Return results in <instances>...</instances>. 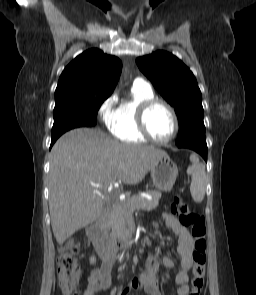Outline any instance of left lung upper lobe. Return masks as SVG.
<instances>
[{
  "label": "left lung upper lobe",
  "instance_id": "obj_1",
  "mask_svg": "<svg viewBox=\"0 0 256 295\" xmlns=\"http://www.w3.org/2000/svg\"><path fill=\"white\" fill-rule=\"evenodd\" d=\"M136 63L175 109L179 121L176 144L206 140L202 96L190 69L176 56L165 51L139 57Z\"/></svg>",
  "mask_w": 256,
  "mask_h": 295
}]
</instances>
